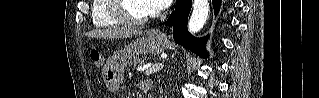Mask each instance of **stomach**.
<instances>
[{
	"label": "stomach",
	"mask_w": 319,
	"mask_h": 98,
	"mask_svg": "<svg viewBox=\"0 0 319 98\" xmlns=\"http://www.w3.org/2000/svg\"><path fill=\"white\" fill-rule=\"evenodd\" d=\"M168 46V41L161 34L148 31L138 37L114 55L113 63L103 70V80L110 91H116L122 83L128 61L138 54H161Z\"/></svg>",
	"instance_id": "0dacf381"
}]
</instances>
